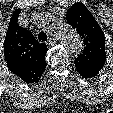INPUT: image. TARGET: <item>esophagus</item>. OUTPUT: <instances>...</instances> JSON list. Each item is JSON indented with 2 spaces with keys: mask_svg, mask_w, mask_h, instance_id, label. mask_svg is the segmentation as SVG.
Instances as JSON below:
<instances>
[{
  "mask_svg": "<svg viewBox=\"0 0 113 113\" xmlns=\"http://www.w3.org/2000/svg\"><path fill=\"white\" fill-rule=\"evenodd\" d=\"M55 43H56V40L54 38H49L46 44L48 46H53Z\"/></svg>",
  "mask_w": 113,
  "mask_h": 113,
  "instance_id": "obj_1",
  "label": "esophagus"
}]
</instances>
